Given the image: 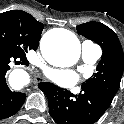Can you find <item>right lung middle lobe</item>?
<instances>
[{"instance_id": "obj_1", "label": "right lung middle lobe", "mask_w": 124, "mask_h": 124, "mask_svg": "<svg viewBox=\"0 0 124 124\" xmlns=\"http://www.w3.org/2000/svg\"><path fill=\"white\" fill-rule=\"evenodd\" d=\"M38 45V38L24 23L5 12L0 14V51L25 59L28 50H36Z\"/></svg>"}]
</instances>
